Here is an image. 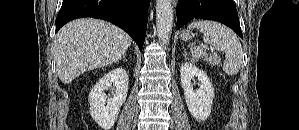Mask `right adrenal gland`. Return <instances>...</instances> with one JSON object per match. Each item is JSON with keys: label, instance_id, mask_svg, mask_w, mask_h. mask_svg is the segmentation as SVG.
Returning <instances> with one entry per match:
<instances>
[{"label": "right adrenal gland", "instance_id": "1", "mask_svg": "<svg viewBox=\"0 0 299 130\" xmlns=\"http://www.w3.org/2000/svg\"><path fill=\"white\" fill-rule=\"evenodd\" d=\"M121 60H123V61H127V60L125 59V55H123V57L121 58Z\"/></svg>", "mask_w": 299, "mask_h": 130}]
</instances>
